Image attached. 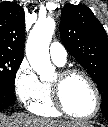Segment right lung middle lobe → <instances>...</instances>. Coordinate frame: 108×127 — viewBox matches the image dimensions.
<instances>
[{"label": "right lung middle lobe", "mask_w": 108, "mask_h": 127, "mask_svg": "<svg viewBox=\"0 0 108 127\" xmlns=\"http://www.w3.org/2000/svg\"><path fill=\"white\" fill-rule=\"evenodd\" d=\"M22 60L21 56L0 53V89L14 93L15 76Z\"/></svg>", "instance_id": "dd1d6c3e"}]
</instances>
